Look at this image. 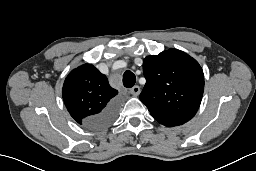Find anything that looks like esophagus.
I'll return each mask as SVG.
<instances>
[{"instance_id": "obj_1", "label": "esophagus", "mask_w": 256, "mask_h": 171, "mask_svg": "<svg viewBox=\"0 0 256 171\" xmlns=\"http://www.w3.org/2000/svg\"><path fill=\"white\" fill-rule=\"evenodd\" d=\"M130 93L133 95V96H138L140 94V87L139 86H134L130 89Z\"/></svg>"}]
</instances>
